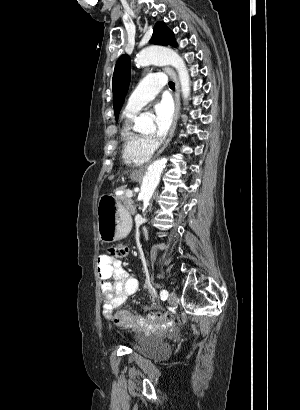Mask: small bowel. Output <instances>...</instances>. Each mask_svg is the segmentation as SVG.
I'll list each match as a JSON object with an SVG mask.
<instances>
[{
  "label": "small bowel",
  "instance_id": "obj_1",
  "mask_svg": "<svg viewBox=\"0 0 300 410\" xmlns=\"http://www.w3.org/2000/svg\"><path fill=\"white\" fill-rule=\"evenodd\" d=\"M97 272L103 295L102 314L109 319L129 296L137 292L138 281L122 267L119 260L108 254L98 256Z\"/></svg>",
  "mask_w": 300,
  "mask_h": 410
}]
</instances>
